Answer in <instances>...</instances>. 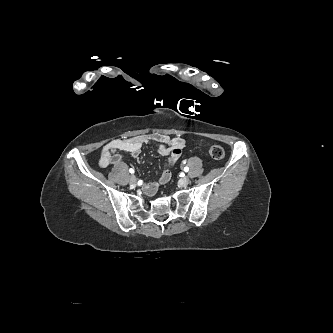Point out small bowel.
Returning <instances> with one entry per match:
<instances>
[{
  "instance_id": "obj_1",
  "label": "small bowel",
  "mask_w": 333,
  "mask_h": 333,
  "mask_svg": "<svg viewBox=\"0 0 333 333\" xmlns=\"http://www.w3.org/2000/svg\"><path fill=\"white\" fill-rule=\"evenodd\" d=\"M148 144H155L158 152L168 158V169H165L160 177L159 183L166 184L171 179V170L182 155L186 142L181 137H169L161 133H150L131 138H118L106 144L99 156V166L106 168L109 165H117L122 155L120 152H127L133 157L139 156L142 147ZM158 184L156 182L145 183L143 189L146 194L154 195Z\"/></svg>"
}]
</instances>
